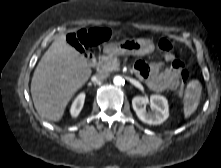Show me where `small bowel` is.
Returning <instances> with one entry per match:
<instances>
[{
	"mask_svg": "<svg viewBox=\"0 0 221 168\" xmlns=\"http://www.w3.org/2000/svg\"><path fill=\"white\" fill-rule=\"evenodd\" d=\"M170 65L163 68L162 62L146 63L138 61L135 71L154 91L175 90L179 86V75L184 73V64L172 54L165 56Z\"/></svg>",
	"mask_w": 221,
	"mask_h": 168,
	"instance_id": "small-bowel-1",
	"label": "small bowel"
}]
</instances>
